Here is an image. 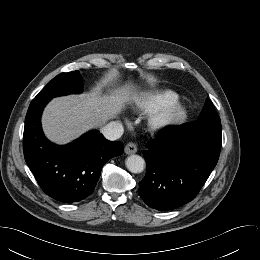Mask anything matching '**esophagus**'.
<instances>
[{"mask_svg":"<svg viewBox=\"0 0 260 260\" xmlns=\"http://www.w3.org/2000/svg\"><path fill=\"white\" fill-rule=\"evenodd\" d=\"M137 150V146L134 143H128L124 148L125 153L128 155L136 153Z\"/></svg>","mask_w":260,"mask_h":260,"instance_id":"1","label":"esophagus"}]
</instances>
